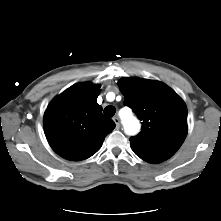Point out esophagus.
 Wrapping results in <instances>:
<instances>
[{"label":"esophagus","instance_id":"34e87169","mask_svg":"<svg viewBox=\"0 0 221 221\" xmlns=\"http://www.w3.org/2000/svg\"><path fill=\"white\" fill-rule=\"evenodd\" d=\"M113 121L115 122L116 128L118 129L120 127V120H119V118L118 117H114Z\"/></svg>","mask_w":221,"mask_h":221}]
</instances>
